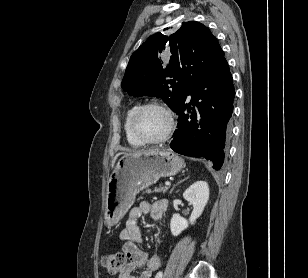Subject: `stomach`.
<instances>
[{
    "mask_svg": "<svg viewBox=\"0 0 308 278\" xmlns=\"http://www.w3.org/2000/svg\"><path fill=\"white\" fill-rule=\"evenodd\" d=\"M184 167V161L173 152L149 150L125 154L112 172L106 196L104 223L117 224L143 189L156 183L161 177H170Z\"/></svg>",
    "mask_w": 308,
    "mask_h": 278,
    "instance_id": "obj_1",
    "label": "stomach"
}]
</instances>
